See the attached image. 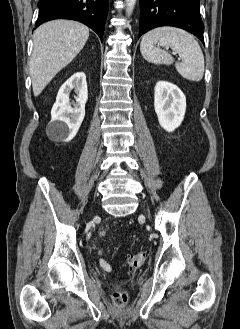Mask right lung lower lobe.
I'll use <instances>...</instances> for the list:
<instances>
[{"label":"right lung lower lobe","mask_w":240,"mask_h":329,"mask_svg":"<svg viewBox=\"0 0 240 329\" xmlns=\"http://www.w3.org/2000/svg\"><path fill=\"white\" fill-rule=\"evenodd\" d=\"M109 0H39L36 27L54 19H71L92 28L102 40Z\"/></svg>","instance_id":"98d812e1"}]
</instances>
